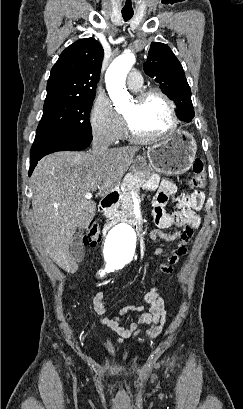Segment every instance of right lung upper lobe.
<instances>
[{
	"mask_svg": "<svg viewBox=\"0 0 243 409\" xmlns=\"http://www.w3.org/2000/svg\"><path fill=\"white\" fill-rule=\"evenodd\" d=\"M103 55L94 38L80 39L67 47L51 69L45 101L94 98Z\"/></svg>",
	"mask_w": 243,
	"mask_h": 409,
	"instance_id": "cb5924a9",
	"label": "right lung upper lobe"
}]
</instances>
